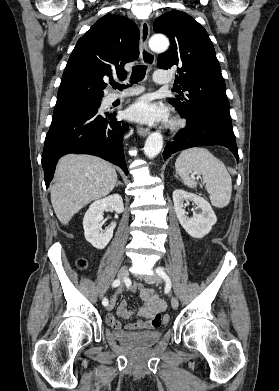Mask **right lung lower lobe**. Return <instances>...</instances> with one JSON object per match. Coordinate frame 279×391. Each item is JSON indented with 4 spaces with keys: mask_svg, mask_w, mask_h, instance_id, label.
<instances>
[{
    "mask_svg": "<svg viewBox=\"0 0 279 391\" xmlns=\"http://www.w3.org/2000/svg\"><path fill=\"white\" fill-rule=\"evenodd\" d=\"M98 109L80 107L53 113L42 154L46 187L53 178L58 159L70 152L99 156L128 174L122 143L128 126L116 120L115 113H100Z\"/></svg>",
    "mask_w": 279,
    "mask_h": 391,
    "instance_id": "obj_1",
    "label": "right lung lower lobe"
}]
</instances>
